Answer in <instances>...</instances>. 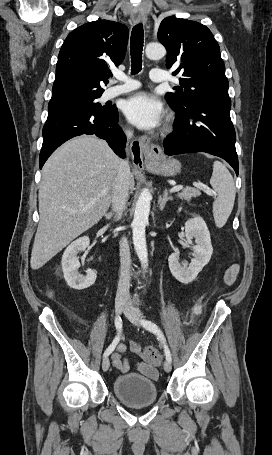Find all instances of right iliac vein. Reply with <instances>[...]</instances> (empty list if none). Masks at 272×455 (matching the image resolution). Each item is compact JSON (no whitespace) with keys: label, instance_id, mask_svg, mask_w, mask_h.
Masks as SVG:
<instances>
[{"label":"right iliac vein","instance_id":"1","mask_svg":"<svg viewBox=\"0 0 272 455\" xmlns=\"http://www.w3.org/2000/svg\"><path fill=\"white\" fill-rule=\"evenodd\" d=\"M124 306H125V301L123 299L120 298V299L116 300V302H115V313H116V315H120L123 312ZM109 366H110V361H109L108 356H106L103 359V362H102L103 371L106 372L109 369Z\"/></svg>","mask_w":272,"mask_h":455}]
</instances>
